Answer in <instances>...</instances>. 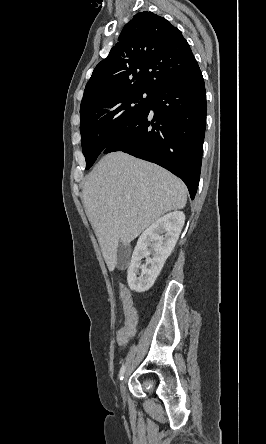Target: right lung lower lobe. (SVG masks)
Returning a JSON list of instances; mask_svg holds the SVG:
<instances>
[{
    "instance_id": "obj_1",
    "label": "right lung lower lobe",
    "mask_w": 266,
    "mask_h": 444,
    "mask_svg": "<svg viewBox=\"0 0 266 444\" xmlns=\"http://www.w3.org/2000/svg\"><path fill=\"white\" fill-rule=\"evenodd\" d=\"M206 127V93L199 66L152 92L147 112L123 129L102 153L123 151L180 177L194 199Z\"/></svg>"
}]
</instances>
